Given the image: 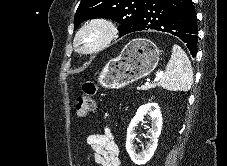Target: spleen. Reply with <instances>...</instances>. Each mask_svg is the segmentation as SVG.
Wrapping results in <instances>:
<instances>
[{"label": "spleen", "mask_w": 227, "mask_h": 166, "mask_svg": "<svg viewBox=\"0 0 227 166\" xmlns=\"http://www.w3.org/2000/svg\"><path fill=\"white\" fill-rule=\"evenodd\" d=\"M193 84L191 62L186 53L178 45L172 48L171 58L159 85L170 91H189Z\"/></svg>", "instance_id": "obj_1"}]
</instances>
